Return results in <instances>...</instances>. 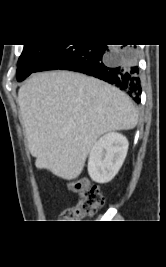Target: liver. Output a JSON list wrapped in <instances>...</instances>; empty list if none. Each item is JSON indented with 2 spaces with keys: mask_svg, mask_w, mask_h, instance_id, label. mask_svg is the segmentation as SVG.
Segmentation results:
<instances>
[{
  "mask_svg": "<svg viewBox=\"0 0 166 267\" xmlns=\"http://www.w3.org/2000/svg\"><path fill=\"white\" fill-rule=\"evenodd\" d=\"M18 103L36 166L65 180L81 174L101 135L130 130L138 123L125 93L69 71L34 74L20 87Z\"/></svg>",
  "mask_w": 166,
  "mask_h": 267,
  "instance_id": "6515ba94",
  "label": "liver"
}]
</instances>
